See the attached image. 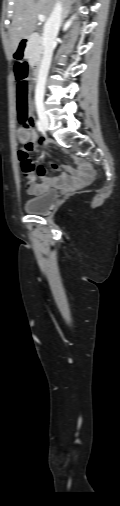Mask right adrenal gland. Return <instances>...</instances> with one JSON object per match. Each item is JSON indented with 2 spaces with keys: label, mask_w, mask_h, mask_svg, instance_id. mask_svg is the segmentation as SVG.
Masks as SVG:
<instances>
[{
  "label": "right adrenal gland",
  "mask_w": 120,
  "mask_h": 506,
  "mask_svg": "<svg viewBox=\"0 0 120 506\" xmlns=\"http://www.w3.org/2000/svg\"><path fill=\"white\" fill-rule=\"evenodd\" d=\"M71 5L72 3H66L63 7L62 23L64 22V19L68 16V14L71 12Z\"/></svg>",
  "instance_id": "right-adrenal-gland-1"
}]
</instances>
